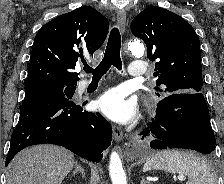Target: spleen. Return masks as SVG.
Wrapping results in <instances>:
<instances>
[{"mask_svg": "<svg viewBox=\"0 0 224 184\" xmlns=\"http://www.w3.org/2000/svg\"><path fill=\"white\" fill-rule=\"evenodd\" d=\"M151 169L184 174L188 177L186 184H215L211 167L199 155L191 151H160L144 164V172Z\"/></svg>", "mask_w": 224, "mask_h": 184, "instance_id": "spleen-1", "label": "spleen"}]
</instances>
